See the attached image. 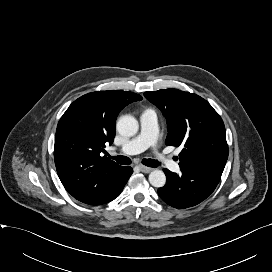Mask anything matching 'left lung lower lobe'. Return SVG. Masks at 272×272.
<instances>
[{
    "label": "left lung lower lobe",
    "instance_id": "1",
    "mask_svg": "<svg viewBox=\"0 0 272 272\" xmlns=\"http://www.w3.org/2000/svg\"><path fill=\"white\" fill-rule=\"evenodd\" d=\"M181 175L164 169L167 182L158 189L161 199L168 205L182 209L205 200L218 185L222 172L197 167H180Z\"/></svg>",
    "mask_w": 272,
    "mask_h": 272
}]
</instances>
